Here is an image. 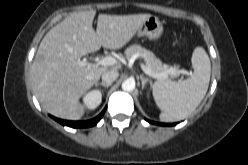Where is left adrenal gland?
Masks as SVG:
<instances>
[{"label":"left adrenal gland","mask_w":248,"mask_h":165,"mask_svg":"<svg viewBox=\"0 0 248 165\" xmlns=\"http://www.w3.org/2000/svg\"><path fill=\"white\" fill-rule=\"evenodd\" d=\"M140 79L142 82V89H144L147 82L151 83V80L149 78H145L144 75H140Z\"/></svg>","instance_id":"1"}]
</instances>
